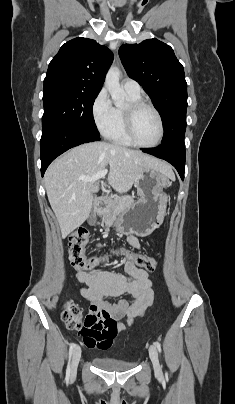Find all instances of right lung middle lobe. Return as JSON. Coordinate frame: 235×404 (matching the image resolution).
Segmentation results:
<instances>
[{
    "mask_svg": "<svg viewBox=\"0 0 235 404\" xmlns=\"http://www.w3.org/2000/svg\"><path fill=\"white\" fill-rule=\"evenodd\" d=\"M97 95L62 85L44 86L42 131L70 126L99 135L92 113Z\"/></svg>",
    "mask_w": 235,
    "mask_h": 404,
    "instance_id": "1",
    "label": "right lung middle lobe"
}]
</instances>
